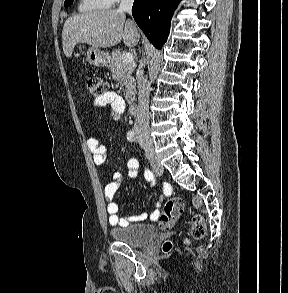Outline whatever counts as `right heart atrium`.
I'll return each mask as SVG.
<instances>
[{
  "mask_svg": "<svg viewBox=\"0 0 288 293\" xmlns=\"http://www.w3.org/2000/svg\"><path fill=\"white\" fill-rule=\"evenodd\" d=\"M109 1L111 2V4H115V3H117V2H119L121 0H109Z\"/></svg>",
  "mask_w": 288,
  "mask_h": 293,
  "instance_id": "1",
  "label": "right heart atrium"
}]
</instances>
